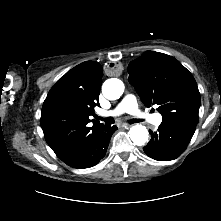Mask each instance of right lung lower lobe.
<instances>
[{"instance_id":"1","label":"right lung lower lobe","mask_w":221,"mask_h":221,"mask_svg":"<svg viewBox=\"0 0 221 221\" xmlns=\"http://www.w3.org/2000/svg\"><path fill=\"white\" fill-rule=\"evenodd\" d=\"M116 130V126H104L95 131L79 149L62 161L74 168L95 166L105 156L110 138Z\"/></svg>"}]
</instances>
